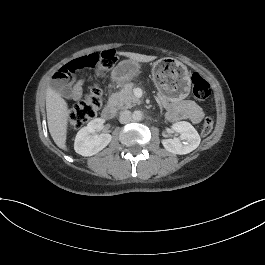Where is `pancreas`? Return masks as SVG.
Instances as JSON below:
<instances>
[{
  "instance_id": "cf45deb5",
  "label": "pancreas",
  "mask_w": 265,
  "mask_h": 265,
  "mask_svg": "<svg viewBox=\"0 0 265 265\" xmlns=\"http://www.w3.org/2000/svg\"><path fill=\"white\" fill-rule=\"evenodd\" d=\"M133 87V83H127L119 92L112 94L114 105L118 109L132 108L136 104L141 103V100L133 95ZM160 101L163 106H166L168 103L167 99L163 98L162 96H160Z\"/></svg>"
}]
</instances>
